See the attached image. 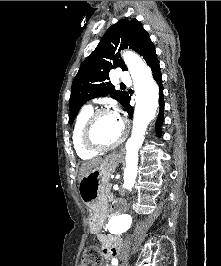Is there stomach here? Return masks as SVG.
Returning a JSON list of instances; mask_svg holds the SVG:
<instances>
[{"instance_id": "0dacf381", "label": "stomach", "mask_w": 221, "mask_h": 266, "mask_svg": "<svg viewBox=\"0 0 221 266\" xmlns=\"http://www.w3.org/2000/svg\"><path fill=\"white\" fill-rule=\"evenodd\" d=\"M119 161V157L113 154L108 155L79 181L80 198L90 208L89 225L91 229H97L102 222L103 213L107 207L105 187Z\"/></svg>"}]
</instances>
